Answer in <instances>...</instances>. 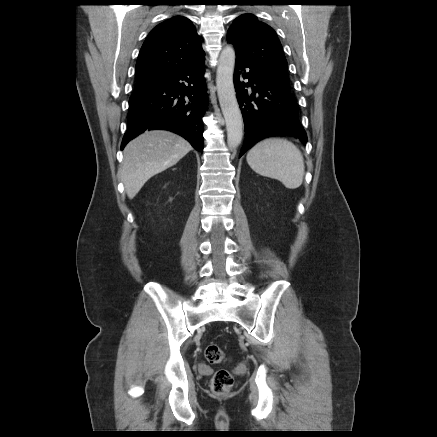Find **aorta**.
<instances>
[{
  "label": "aorta",
  "mask_w": 437,
  "mask_h": 437,
  "mask_svg": "<svg viewBox=\"0 0 437 437\" xmlns=\"http://www.w3.org/2000/svg\"><path fill=\"white\" fill-rule=\"evenodd\" d=\"M235 59L233 46L224 47L219 57L216 74L217 93L226 122L227 143L230 148L238 147L243 137V119L233 83Z\"/></svg>",
  "instance_id": "1"
}]
</instances>
